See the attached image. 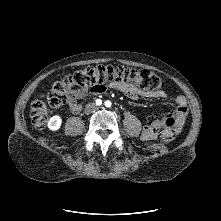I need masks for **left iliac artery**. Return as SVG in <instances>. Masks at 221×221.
Returning a JSON list of instances; mask_svg holds the SVG:
<instances>
[{"label":"left iliac artery","instance_id":"1","mask_svg":"<svg viewBox=\"0 0 221 221\" xmlns=\"http://www.w3.org/2000/svg\"><path fill=\"white\" fill-rule=\"evenodd\" d=\"M105 106H106V107H110V106H111V102H110V101H106V102H105Z\"/></svg>","mask_w":221,"mask_h":221}]
</instances>
